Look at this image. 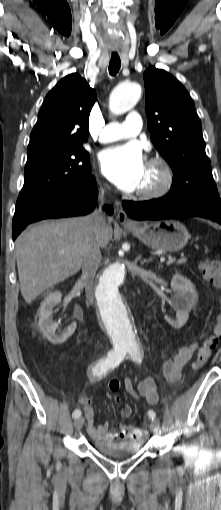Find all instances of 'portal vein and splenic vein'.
I'll use <instances>...</instances> for the list:
<instances>
[{"mask_svg":"<svg viewBox=\"0 0 221 510\" xmlns=\"http://www.w3.org/2000/svg\"><path fill=\"white\" fill-rule=\"evenodd\" d=\"M175 261H176V258H170V259H168V261H167L166 263L169 265V264L174 263ZM186 261H187V259H186V258H181V259H179L177 262H178V263H184V262H186Z\"/></svg>","mask_w":221,"mask_h":510,"instance_id":"1","label":"portal vein and splenic vein"}]
</instances>
